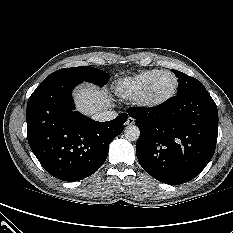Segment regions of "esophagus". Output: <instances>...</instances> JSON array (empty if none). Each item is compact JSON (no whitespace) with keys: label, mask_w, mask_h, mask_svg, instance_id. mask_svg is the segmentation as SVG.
I'll use <instances>...</instances> for the list:
<instances>
[{"label":"esophagus","mask_w":233,"mask_h":233,"mask_svg":"<svg viewBox=\"0 0 233 233\" xmlns=\"http://www.w3.org/2000/svg\"><path fill=\"white\" fill-rule=\"evenodd\" d=\"M125 124L126 125H133V124H135V119H133L132 117H128Z\"/></svg>","instance_id":"esophagus-1"}]
</instances>
